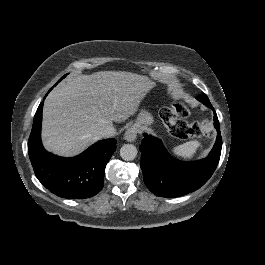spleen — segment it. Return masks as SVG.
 <instances>
[{
  "label": "spleen",
  "instance_id": "3e777b00",
  "mask_svg": "<svg viewBox=\"0 0 265 265\" xmlns=\"http://www.w3.org/2000/svg\"><path fill=\"white\" fill-rule=\"evenodd\" d=\"M202 145L203 141L201 139L192 140L171 148V153L180 160H193Z\"/></svg>",
  "mask_w": 265,
  "mask_h": 265
}]
</instances>
